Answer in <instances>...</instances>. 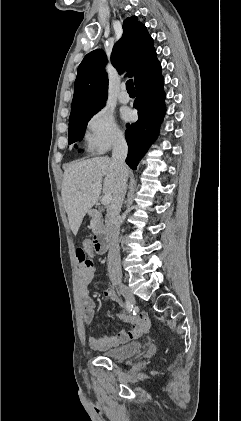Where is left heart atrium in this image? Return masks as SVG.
I'll list each match as a JSON object with an SVG mask.
<instances>
[{"label": "left heart atrium", "instance_id": "1", "mask_svg": "<svg viewBox=\"0 0 241 421\" xmlns=\"http://www.w3.org/2000/svg\"><path fill=\"white\" fill-rule=\"evenodd\" d=\"M130 117H131V115L129 114V115H128V118H130Z\"/></svg>", "mask_w": 241, "mask_h": 421}]
</instances>
